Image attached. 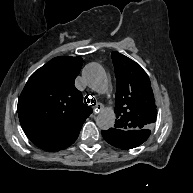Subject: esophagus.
<instances>
[{
	"label": "esophagus",
	"instance_id": "1",
	"mask_svg": "<svg viewBox=\"0 0 193 193\" xmlns=\"http://www.w3.org/2000/svg\"><path fill=\"white\" fill-rule=\"evenodd\" d=\"M104 105L102 103H97L96 108L94 109L95 114H99L101 111H103Z\"/></svg>",
	"mask_w": 193,
	"mask_h": 193
}]
</instances>
